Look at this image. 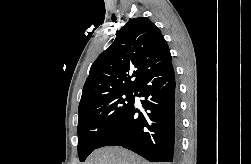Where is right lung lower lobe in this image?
Listing matches in <instances>:
<instances>
[{
    "label": "right lung lower lobe",
    "instance_id": "right-lung-lower-lobe-1",
    "mask_svg": "<svg viewBox=\"0 0 251 164\" xmlns=\"http://www.w3.org/2000/svg\"><path fill=\"white\" fill-rule=\"evenodd\" d=\"M136 95L143 98L141 103L146 112L133 105L97 148L122 146L150 162L177 163L180 122L172 63L147 76L136 89Z\"/></svg>",
    "mask_w": 251,
    "mask_h": 164
}]
</instances>
